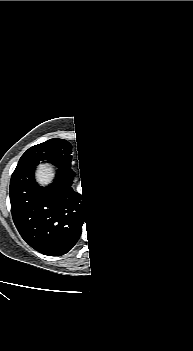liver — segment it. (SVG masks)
I'll return each mask as SVG.
<instances>
[{"instance_id": "1", "label": "liver", "mask_w": 193, "mask_h": 351, "mask_svg": "<svg viewBox=\"0 0 193 351\" xmlns=\"http://www.w3.org/2000/svg\"><path fill=\"white\" fill-rule=\"evenodd\" d=\"M35 177L40 185H49L55 177L52 165L49 163L39 164L35 172Z\"/></svg>"}]
</instances>
